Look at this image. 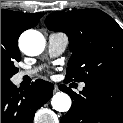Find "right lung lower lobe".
Wrapping results in <instances>:
<instances>
[{"label": "right lung lower lobe", "instance_id": "right-lung-lower-lobe-1", "mask_svg": "<svg viewBox=\"0 0 123 123\" xmlns=\"http://www.w3.org/2000/svg\"><path fill=\"white\" fill-rule=\"evenodd\" d=\"M53 84L38 79L20 90L11 81L1 83V123H32L38 108L51 97Z\"/></svg>", "mask_w": 123, "mask_h": 123}]
</instances>
